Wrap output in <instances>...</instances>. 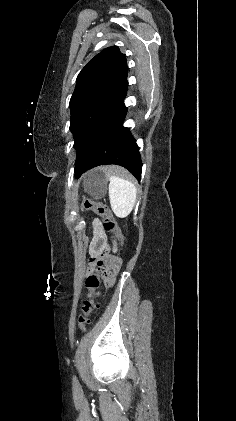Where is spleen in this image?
Here are the masks:
<instances>
[{
	"label": "spleen",
	"instance_id": "obj_1",
	"mask_svg": "<svg viewBox=\"0 0 236 421\" xmlns=\"http://www.w3.org/2000/svg\"><path fill=\"white\" fill-rule=\"evenodd\" d=\"M109 198L116 217L124 219L130 215L135 204L137 188L130 180L111 174L109 176Z\"/></svg>",
	"mask_w": 236,
	"mask_h": 421
}]
</instances>
